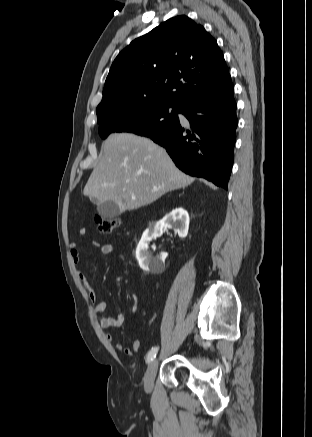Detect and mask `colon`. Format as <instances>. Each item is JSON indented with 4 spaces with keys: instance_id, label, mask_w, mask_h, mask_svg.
I'll return each instance as SVG.
<instances>
[{
    "instance_id": "1",
    "label": "colon",
    "mask_w": 312,
    "mask_h": 437,
    "mask_svg": "<svg viewBox=\"0 0 312 437\" xmlns=\"http://www.w3.org/2000/svg\"><path fill=\"white\" fill-rule=\"evenodd\" d=\"M119 219L116 217H105L101 215L95 216L97 228L102 233H110L119 225Z\"/></svg>"
}]
</instances>
